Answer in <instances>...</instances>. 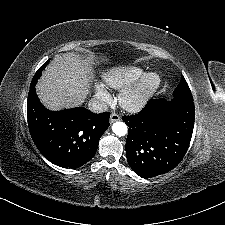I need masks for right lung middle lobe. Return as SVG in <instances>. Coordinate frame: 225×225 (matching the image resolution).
<instances>
[{"label": "right lung middle lobe", "instance_id": "right-lung-middle-lobe-1", "mask_svg": "<svg viewBox=\"0 0 225 225\" xmlns=\"http://www.w3.org/2000/svg\"><path fill=\"white\" fill-rule=\"evenodd\" d=\"M50 60H48L47 62H45L38 70L37 72L35 73L33 79H32V82H31V85L30 86H35L36 83H37V80L39 79V77L41 76L42 74V71L45 69V67L47 66L48 62Z\"/></svg>", "mask_w": 225, "mask_h": 225}]
</instances>
